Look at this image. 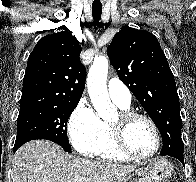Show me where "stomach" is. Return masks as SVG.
Masks as SVG:
<instances>
[{"label":"stomach","instance_id":"1","mask_svg":"<svg viewBox=\"0 0 196 182\" xmlns=\"http://www.w3.org/2000/svg\"><path fill=\"white\" fill-rule=\"evenodd\" d=\"M173 173V165L166 159H154L144 169L132 173L125 182H166Z\"/></svg>","mask_w":196,"mask_h":182}]
</instances>
